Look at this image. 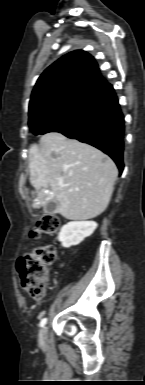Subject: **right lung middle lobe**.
I'll return each instance as SVG.
<instances>
[{"mask_svg": "<svg viewBox=\"0 0 145 385\" xmlns=\"http://www.w3.org/2000/svg\"><path fill=\"white\" fill-rule=\"evenodd\" d=\"M99 95V92L75 89L61 93L29 112V127L33 134L55 132L67 124Z\"/></svg>", "mask_w": 145, "mask_h": 385, "instance_id": "dd1d6c3e", "label": "right lung middle lobe"}]
</instances>
